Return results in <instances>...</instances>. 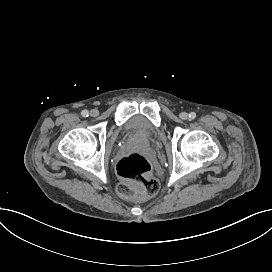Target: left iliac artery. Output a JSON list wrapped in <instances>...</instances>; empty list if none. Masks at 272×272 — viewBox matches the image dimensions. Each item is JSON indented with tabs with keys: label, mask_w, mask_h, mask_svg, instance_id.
Returning <instances> with one entry per match:
<instances>
[{
	"label": "left iliac artery",
	"mask_w": 272,
	"mask_h": 272,
	"mask_svg": "<svg viewBox=\"0 0 272 272\" xmlns=\"http://www.w3.org/2000/svg\"><path fill=\"white\" fill-rule=\"evenodd\" d=\"M189 118H190L191 120L195 119V118H196V113L191 112V113L189 114Z\"/></svg>",
	"instance_id": "left-iliac-artery-1"
}]
</instances>
